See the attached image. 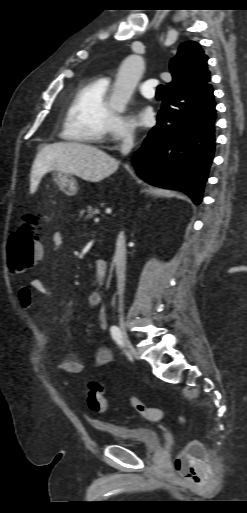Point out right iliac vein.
I'll list each match as a JSON object with an SVG mask.
<instances>
[{
  "instance_id": "right-iliac-vein-1",
  "label": "right iliac vein",
  "mask_w": 247,
  "mask_h": 513,
  "mask_svg": "<svg viewBox=\"0 0 247 513\" xmlns=\"http://www.w3.org/2000/svg\"><path fill=\"white\" fill-rule=\"evenodd\" d=\"M120 329H121V333H122V336L124 338V341H125V344L129 350V352L135 357L137 358V353H136V350L134 348V346L132 345L130 339H129V336L127 334V331H126V324L125 323H121L120 325Z\"/></svg>"
}]
</instances>
